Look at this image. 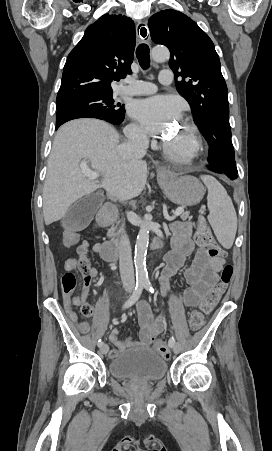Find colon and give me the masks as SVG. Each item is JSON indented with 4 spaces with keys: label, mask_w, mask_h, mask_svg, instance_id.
I'll return each instance as SVG.
<instances>
[{
    "label": "colon",
    "mask_w": 272,
    "mask_h": 451,
    "mask_svg": "<svg viewBox=\"0 0 272 451\" xmlns=\"http://www.w3.org/2000/svg\"><path fill=\"white\" fill-rule=\"evenodd\" d=\"M64 247L66 249H75L77 244H80L81 237L77 235L76 230H63L62 233ZM196 240L204 244L208 247L207 257L208 258H228L229 251L228 249H220L217 246V242L214 240L209 226L206 221H201L199 224V228L196 233ZM67 270L64 274H59V283H61L62 289H67L65 294L67 295L68 303H79L80 295L74 294L72 289L78 288V281L76 280V274H74V267H78L83 271H91L93 269V264L88 262L85 258H68L66 261ZM233 275V266L227 264L223 267L220 272V280L217 285H215L204 297L202 304L203 312H211L216 304L219 302L221 297L226 291V288L229 286L231 278ZM81 312L85 315L91 313V305L87 302H84L81 305ZM203 324V316L202 313L198 310L192 311L190 313V327L193 330L199 329ZM79 329L81 332H87L89 330V325L86 322H83L79 325ZM154 351H158L159 354L164 359L169 358V354H172L173 347L170 342H154L153 344Z\"/></svg>",
    "instance_id": "5ec220e1"
}]
</instances>
